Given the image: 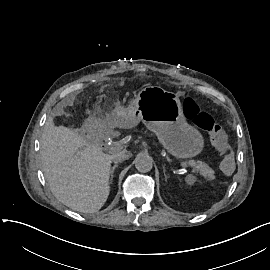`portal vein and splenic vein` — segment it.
Instances as JSON below:
<instances>
[{"mask_svg":"<svg viewBox=\"0 0 270 270\" xmlns=\"http://www.w3.org/2000/svg\"><path fill=\"white\" fill-rule=\"evenodd\" d=\"M118 151H119V148H118V147H107V148L105 149V152H106L107 154H116ZM178 164H179L180 166L186 167V168L189 166L186 162H182V161H180ZM190 168H192V167H190Z\"/></svg>","mask_w":270,"mask_h":270,"instance_id":"obj_1","label":"portal vein and splenic vein"}]
</instances>
